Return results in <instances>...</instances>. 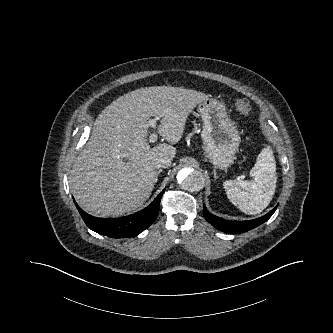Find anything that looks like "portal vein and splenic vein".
<instances>
[{
  "label": "portal vein and splenic vein",
  "mask_w": 333,
  "mask_h": 333,
  "mask_svg": "<svg viewBox=\"0 0 333 333\" xmlns=\"http://www.w3.org/2000/svg\"><path fill=\"white\" fill-rule=\"evenodd\" d=\"M156 122H157V119L149 120V126L155 128L156 127ZM157 138H158V135L156 133H152L149 136V141L153 143V142L157 141Z\"/></svg>",
  "instance_id": "portal-vein-and-splenic-vein-1"
}]
</instances>
